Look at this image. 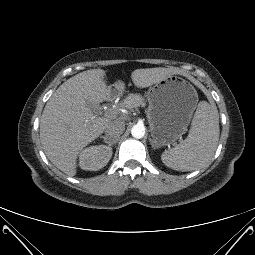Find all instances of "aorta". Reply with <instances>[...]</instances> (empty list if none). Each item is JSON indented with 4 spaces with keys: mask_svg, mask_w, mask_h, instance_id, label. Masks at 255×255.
Instances as JSON below:
<instances>
[{
    "mask_svg": "<svg viewBox=\"0 0 255 255\" xmlns=\"http://www.w3.org/2000/svg\"><path fill=\"white\" fill-rule=\"evenodd\" d=\"M131 134L136 139H141L145 135V127L142 125H134L131 129Z\"/></svg>",
    "mask_w": 255,
    "mask_h": 255,
    "instance_id": "aorta-1",
    "label": "aorta"
}]
</instances>
